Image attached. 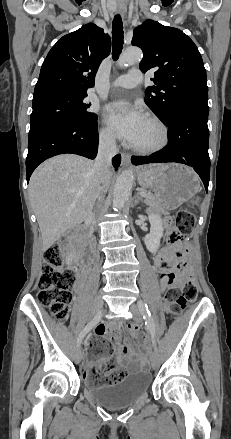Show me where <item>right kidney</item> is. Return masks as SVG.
<instances>
[{"instance_id":"obj_1","label":"right kidney","mask_w":231,"mask_h":439,"mask_svg":"<svg viewBox=\"0 0 231 439\" xmlns=\"http://www.w3.org/2000/svg\"><path fill=\"white\" fill-rule=\"evenodd\" d=\"M73 257H74V254H71V255L66 259V263H67L68 265H71V264H72Z\"/></svg>"}]
</instances>
